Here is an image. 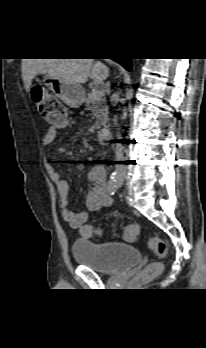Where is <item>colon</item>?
Wrapping results in <instances>:
<instances>
[{
    "label": "colon",
    "instance_id": "5ec220e1",
    "mask_svg": "<svg viewBox=\"0 0 206 348\" xmlns=\"http://www.w3.org/2000/svg\"><path fill=\"white\" fill-rule=\"evenodd\" d=\"M33 100L40 114L54 127L64 128L68 125V114L60 101L49 93H45L42 89H33ZM81 235L86 239H94L100 234V231L92 225H83L81 227ZM140 235V227L136 224L126 226L124 230V238L127 241H135ZM149 247L160 258H164L168 254V247L165 241L158 237H152L149 240ZM162 264L154 262L148 265L141 274L145 277L158 275L162 271Z\"/></svg>",
    "mask_w": 206,
    "mask_h": 348
}]
</instances>
